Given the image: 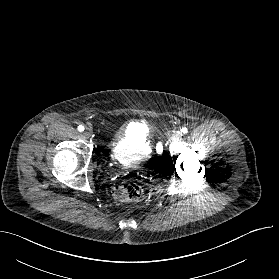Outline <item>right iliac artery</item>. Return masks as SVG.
I'll list each match as a JSON object with an SVG mask.
<instances>
[{
    "label": "right iliac artery",
    "mask_w": 279,
    "mask_h": 279,
    "mask_svg": "<svg viewBox=\"0 0 279 279\" xmlns=\"http://www.w3.org/2000/svg\"><path fill=\"white\" fill-rule=\"evenodd\" d=\"M78 130H79L80 132L84 131V126L79 125V126H78Z\"/></svg>",
    "instance_id": "1"
}]
</instances>
